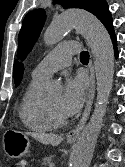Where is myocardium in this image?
<instances>
[{
  "label": "myocardium",
  "instance_id": "myocardium-1",
  "mask_svg": "<svg viewBox=\"0 0 125 167\" xmlns=\"http://www.w3.org/2000/svg\"><path fill=\"white\" fill-rule=\"evenodd\" d=\"M44 106L49 119L55 127H62L67 124L68 118L55 112L46 100H44Z\"/></svg>",
  "mask_w": 125,
  "mask_h": 167
}]
</instances>
